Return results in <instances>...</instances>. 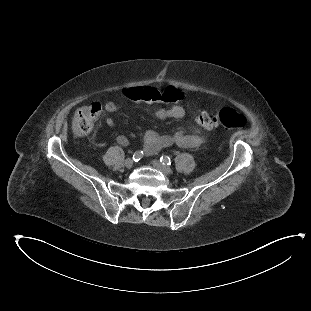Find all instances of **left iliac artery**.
<instances>
[{
	"instance_id": "44dca946",
	"label": "left iliac artery",
	"mask_w": 311,
	"mask_h": 311,
	"mask_svg": "<svg viewBox=\"0 0 311 311\" xmlns=\"http://www.w3.org/2000/svg\"><path fill=\"white\" fill-rule=\"evenodd\" d=\"M160 161H161V163H163V164H165V165H170L171 164V158L170 157H168V156H166V155H162L161 157H160Z\"/></svg>"
}]
</instances>
